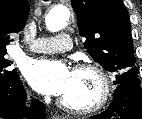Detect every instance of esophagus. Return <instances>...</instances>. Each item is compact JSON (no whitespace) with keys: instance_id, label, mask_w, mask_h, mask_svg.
I'll use <instances>...</instances> for the list:
<instances>
[{"instance_id":"1","label":"esophagus","mask_w":142,"mask_h":119,"mask_svg":"<svg viewBox=\"0 0 142 119\" xmlns=\"http://www.w3.org/2000/svg\"><path fill=\"white\" fill-rule=\"evenodd\" d=\"M51 118H52V119H59V116H57V115H52Z\"/></svg>"}]
</instances>
